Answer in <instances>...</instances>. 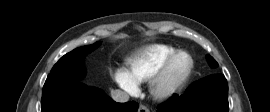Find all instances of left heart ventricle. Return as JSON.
Returning <instances> with one entry per match:
<instances>
[{
    "label": "left heart ventricle",
    "instance_id": "b2bd125f",
    "mask_svg": "<svg viewBox=\"0 0 270 112\" xmlns=\"http://www.w3.org/2000/svg\"><path fill=\"white\" fill-rule=\"evenodd\" d=\"M190 64L189 58L186 54L178 55L171 63L166 78L164 81L165 86L174 84L188 69Z\"/></svg>",
    "mask_w": 270,
    "mask_h": 112
}]
</instances>
